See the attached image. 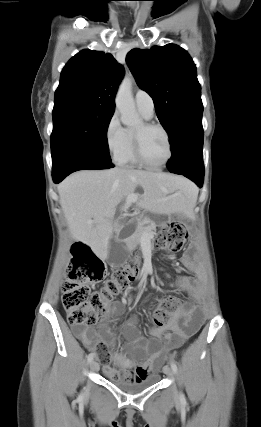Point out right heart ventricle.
<instances>
[{
	"instance_id": "obj_1",
	"label": "right heart ventricle",
	"mask_w": 261,
	"mask_h": 427,
	"mask_svg": "<svg viewBox=\"0 0 261 427\" xmlns=\"http://www.w3.org/2000/svg\"><path fill=\"white\" fill-rule=\"evenodd\" d=\"M126 136H127L126 148H125L123 154L117 160V162L121 166H125V167H136V166L139 165V163L136 160L135 155H134V149H133V131L126 130Z\"/></svg>"
}]
</instances>
